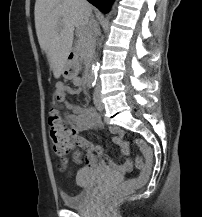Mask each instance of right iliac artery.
I'll list each match as a JSON object with an SVG mask.
<instances>
[{"label": "right iliac artery", "instance_id": "obj_1", "mask_svg": "<svg viewBox=\"0 0 202 217\" xmlns=\"http://www.w3.org/2000/svg\"><path fill=\"white\" fill-rule=\"evenodd\" d=\"M90 85H91L92 87H94V86H95V81H94V82H91Z\"/></svg>", "mask_w": 202, "mask_h": 217}]
</instances>
